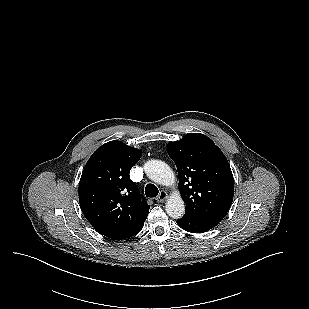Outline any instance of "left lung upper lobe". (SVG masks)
Masks as SVG:
<instances>
[{
    "mask_svg": "<svg viewBox=\"0 0 309 309\" xmlns=\"http://www.w3.org/2000/svg\"><path fill=\"white\" fill-rule=\"evenodd\" d=\"M167 153L177 167L185 215L216 226L230 209L234 194L233 175L225 155L210 138L199 133H188L180 141L170 142Z\"/></svg>",
    "mask_w": 309,
    "mask_h": 309,
    "instance_id": "obj_1",
    "label": "left lung upper lobe"
}]
</instances>
